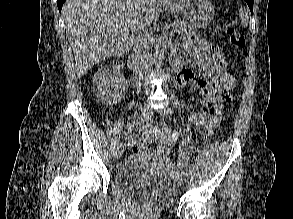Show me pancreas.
<instances>
[{"mask_svg":"<svg viewBox=\"0 0 293 219\" xmlns=\"http://www.w3.org/2000/svg\"><path fill=\"white\" fill-rule=\"evenodd\" d=\"M175 30L183 37H195L198 34L197 28L185 21H177Z\"/></svg>","mask_w":293,"mask_h":219,"instance_id":"obj_1","label":"pancreas"}]
</instances>
